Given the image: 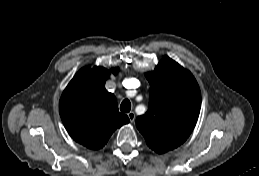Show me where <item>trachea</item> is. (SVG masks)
Returning <instances> with one entry per match:
<instances>
[{
	"label": "trachea",
	"mask_w": 259,
	"mask_h": 176,
	"mask_svg": "<svg viewBox=\"0 0 259 176\" xmlns=\"http://www.w3.org/2000/svg\"><path fill=\"white\" fill-rule=\"evenodd\" d=\"M120 110L126 113H128L131 110V103L128 99L122 101L120 105Z\"/></svg>",
	"instance_id": "1"
}]
</instances>
